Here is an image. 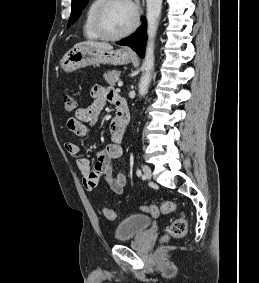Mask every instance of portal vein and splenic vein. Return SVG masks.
<instances>
[{
	"label": "portal vein and splenic vein",
	"mask_w": 259,
	"mask_h": 283,
	"mask_svg": "<svg viewBox=\"0 0 259 283\" xmlns=\"http://www.w3.org/2000/svg\"><path fill=\"white\" fill-rule=\"evenodd\" d=\"M123 85L122 81H118V86L121 87Z\"/></svg>",
	"instance_id": "1"
}]
</instances>
